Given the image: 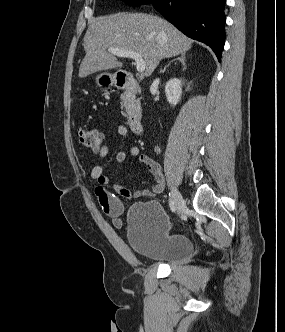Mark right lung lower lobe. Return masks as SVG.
Listing matches in <instances>:
<instances>
[{"instance_id":"98d812e1","label":"right lung lower lobe","mask_w":285,"mask_h":332,"mask_svg":"<svg viewBox=\"0 0 285 332\" xmlns=\"http://www.w3.org/2000/svg\"><path fill=\"white\" fill-rule=\"evenodd\" d=\"M156 10L185 35L204 42L221 59L225 0H153Z\"/></svg>"}]
</instances>
